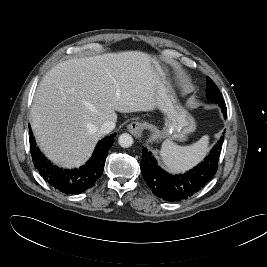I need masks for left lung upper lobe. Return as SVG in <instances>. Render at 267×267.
<instances>
[{
	"label": "left lung upper lobe",
	"mask_w": 267,
	"mask_h": 267,
	"mask_svg": "<svg viewBox=\"0 0 267 267\" xmlns=\"http://www.w3.org/2000/svg\"><path fill=\"white\" fill-rule=\"evenodd\" d=\"M206 93L210 101L218 104H224V100L220 95L218 87L209 77L206 78Z\"/></svg>",
	"instance_id": "obj_1"
}]
</instances>
